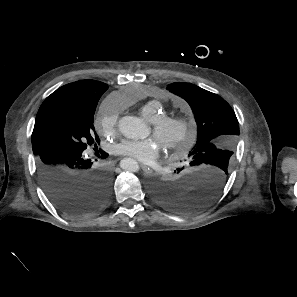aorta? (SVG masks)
<instances>
[{"label":"aorta","instance_id":"aorta-1","mask_svg":"<svg viewBox=\"0 0 297 297\" xmlns=\"http://www.w3.org/2000/svg\"><path fill=\"white\" fill-rule=\"evenodd\" d=\"M119 130L128 139H140L147 136V127L143 121L134 116H124L119 120ZM120 167L129 172L139 170L138 162L132 158H124L120 162Z\"/></svg>","mask_w":297,"mask_h":297}]
</instances>
